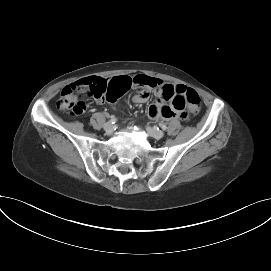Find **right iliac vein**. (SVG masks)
Segmentation results:
<instances>
[{
	"label": "right iliac vein",
	"mask_w": 271,
	"mask_h": 271,
	"mask_svg": "<svg viewBox=\"0 0 271 271\" xmlns=\"http://www.w3.org/2000/svg\"><path fill=\"white\" fill-rule=\"evenodd\" d=\"M104 130L106 133H111L113 131V125L111 123H106L104 125Z\"/></svg>",
	"instance_id": "obj_1"
}]
</instances>
